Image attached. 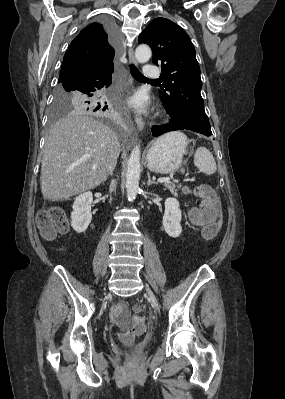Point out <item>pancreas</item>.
<instances>
[{"label":"pancreas","instance_id":"cf45deb5","mask_svg":"<svg viewBox=\"0 0 285 399\" xmlns=\"http://www.w3.org/2000/svg\"><path fill=\"white\" fill-rule=\"evenodd\" d=\"M165 187L166 189H168L172 194L176 195L177 194V189L176 188H180V185H176V183H172V182H167L165 183Z\"/></svg>","mask_w":285,"mask_h":399}]
</instances>
